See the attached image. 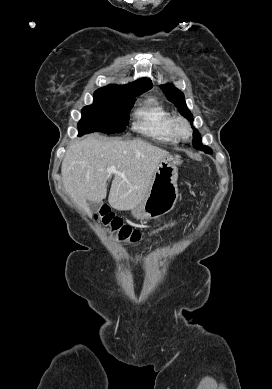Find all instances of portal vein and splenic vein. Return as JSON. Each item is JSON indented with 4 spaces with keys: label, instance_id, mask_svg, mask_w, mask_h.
<instances>
[{
    "label": "portal vein and splenic vein",
    "instance_id": "18ae733b",
    "mask_svg": "<svg viewBox=\"0 0 272 389\" xmlns=\"http://www.w3.org/2000/svg\"><path fill=\"white\" fill-rule=\"evenodd\" d=\"M107 172L110 173V174H111V173L119 174V172L116 170V167H115V166H113V167L107 169Z\"/></svg>",
    "mask_w": 272,
    "mask_h": 389
}]
</instances>
